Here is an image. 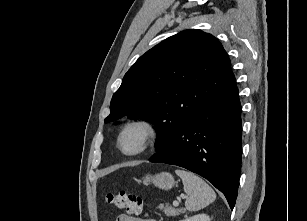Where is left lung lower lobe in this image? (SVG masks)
I'll use <instances>...</instances> for the list:
<instances>
[{
	"instance_id": "1",
	"label": "left lung lower lobe",
	"mask_w": 307,
	"mask_h": 221,
	"mask_svg": "<svg viewBox=\"0 0 307 221\" xmlns=\"http://www.w3.org/2000/svg\"><path fill=\"white\" fill-rule=\"evenodd\" d=\"M241 105L235 77L196 111L151 159L210 181L234 208L241 171Z\"/></svg>"
}]
</instances>
